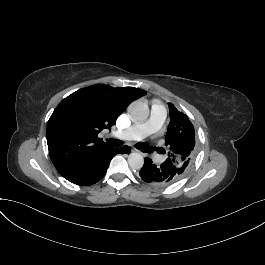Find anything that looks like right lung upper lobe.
Returning a JSON list of instances; mask_svg holds the SVG:
<instances>
[{"label": "right lung upper lobe", "mask_w": 265, "mask_h": 265, "mask_svg": "<svg viewBox=\"0 0 265 265\" xmlns=\"http://www.w3.org/2000/svg\"><path fill=\"white\" fill-rule=\"evenodd\" d=\"M146 94L134 87L96 84L62 100L47 124L49 155L57 171L70 179L112 148L98 138L99 132L110 130L126 107Z\"/></svg>", "instance_id": "cb5924a9"}]
</instances>
